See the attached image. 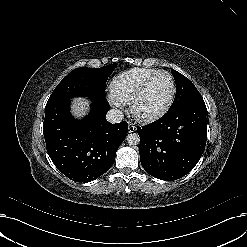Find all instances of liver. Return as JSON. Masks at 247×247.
Segmentation results:
<instances>
[{"label":"liver","instance_id":"1","mask_svg":"<svg viewBox=\"0 0 247 247\" xmlns=\"http://www.w3.org/2000/svg\"><path fill=\"white\" fill-rule=\"evenodd\" d=\"M90 102L84 98H75L71 105V113L75 118L84 117L89 110Z\"/></svg>","mask_w":247,"mask_h":247}]
</instances>
